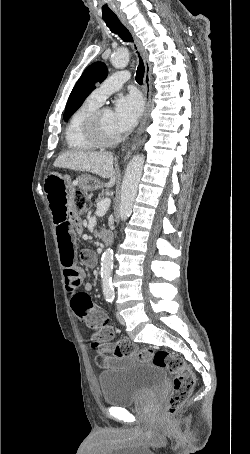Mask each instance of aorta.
<instances>
[{
  "label": "aorta",
  "mask_w": 250,
  "mask_h": 454,
  "mask_svg": "<svg viewBox=\"0 0 250 454\" xmlns=\"http://www.w3.org/2000/svg\"><path fill=\"white\" fill-rule=\"evenodd\" d=\"M112 65L117 69H123L129 62V51L125 47L118 48L112 55ZM144 156L135 155L130 160L125 170L121 188V203L119 215L122 221L127 220L131 215L133 204L137 195L138 185L142 176ZM113 269V250L108 248L101 258V278L103 294L107 300L114 299L111 274Z\"/></svg>",
  "instance_id": "obj_1"
}]
</instances>
